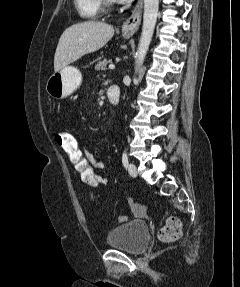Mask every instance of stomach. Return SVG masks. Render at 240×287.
I'll use <instances>...</instances> for the list:
<instances>
[{"label": "stomach", "mask_w": 240, "mask_h": 287, "mask_svg": "<svg viewBox=\"0 0 240 287\" xmlns=\"http://www.w3.org/2000/svg\"><path fill=\"white\" fill-rule=\"evenodd\" d=\"M128 37V34H124ZM82 82V74L76 67L66 66L52 74L46 84L49 96L55 99H63L71 95L79 88Z\"/></svg>", "instance_id": "stomach-1"}]
</instances>
